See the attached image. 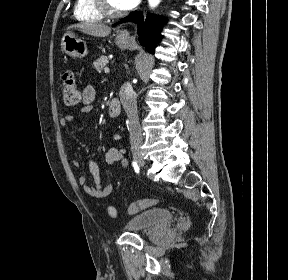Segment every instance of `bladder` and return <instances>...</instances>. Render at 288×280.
Here are the masks:
<instances>
[{
	"label": "bladder",
	"mask_w": 288,
	"mask_h": 280,
	"mask_svg": "<svg viewBox=\"0 0 288 280\" xmlns=\"http://www.w3.org/2000/svg\"><path fill=\"white\" fill-rule=\"evenodd\" d=\"M173 213L166 208H151L133 216L125 225L129 232L154 231L169 223Z\"/></svg>",
	"instance_id": "31cf9c89"
}]
</instances>
